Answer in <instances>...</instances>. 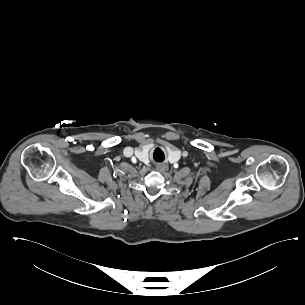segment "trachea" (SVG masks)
Returning <instances> with one entry per match:
<instances>
[{
	"instance_id": "obj_1",
	"label": "trachea",
	"mask_w": 305,
	"mask_h": 305,
	"mask_svg": "<svg viewBox=\"0 0 305 305\" xmlns=\"http://www.w3.org/2000/svg\"><path fill=\"white\" fill-rule=\"evenodd\" d=\"M153 158L156 162H162L164 160V154H163V152L159 153V152L155 151L153 154Z\"/></svg>"
}]
</instances>
